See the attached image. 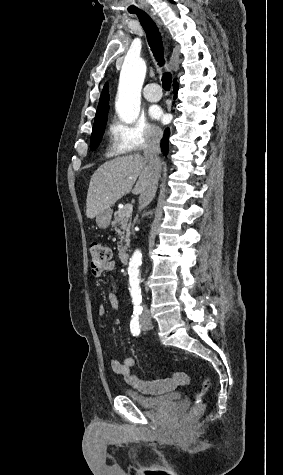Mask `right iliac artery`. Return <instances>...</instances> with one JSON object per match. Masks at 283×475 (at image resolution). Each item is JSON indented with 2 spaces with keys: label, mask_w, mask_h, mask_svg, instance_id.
Returning a JSON list of instances; mask_svg holds the SVG:
<instances>
[{
  "label": "right iliac artery",
  "mask_w": 283,
  "mask_h": 475,
  "mask_svg": "<svg viewBox=\"0 0 283 475\" xmlns=\"http://www.w3.org/2000/svg\"><path fill=\"white\" fill-rule=\"evenodd\" d=\"M130 329L133 336H138L140 334L139 317L136 312H134V314L132 315Z\"/></svg>",
  "instance_id": "obj_1"
}]
</instances>
